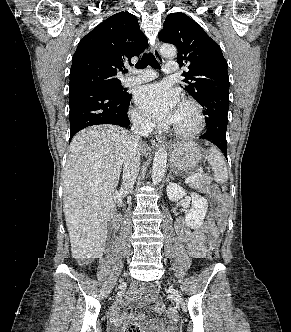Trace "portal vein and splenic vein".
Wrapping results in <instances>:
<instances>
[{
  "instance_id": "portal-vein-and-splenic-vein-1",
  "label": "portal vein and splenic vein",
  "mask_w": 291,
  "mask_h": 332,
  "mask_svg": "<svg viewBox=\"0 0 291 332\" xmlns=\"http://www.w3.org/2000/svg\"><path fill=\"white\" fill-rule=\"evenodd\" d=\"M201 176V172H197L186 179V183H192L196 178Z\"/></svg>"
}]
</instances>
